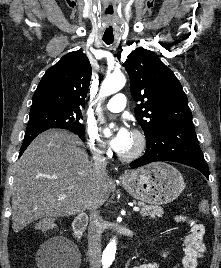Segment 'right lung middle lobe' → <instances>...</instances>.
I'll return each instance as SVG.
<instances>
[{
    "label": "right lung middle lobe",
    "instance_id": "right-lung-middle-lobe-1",
    "mask_svg": "<svg viewBox=\"0 0 221 268\" xmlns=\"http://www.w3.org/2000/svg\"><path fill=\"white\" fill-rule=\"evenodd\" d=\"M81 111L72 110H49L36 113H30L27 130L39 128H62L84 135L85 130Z\"/></svg>",
    "mask_w": 221,
    "mask_h": 268
}]
</instances>
